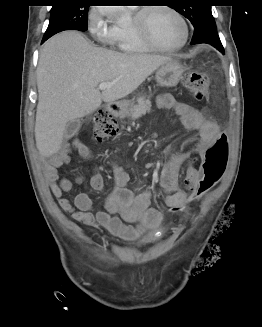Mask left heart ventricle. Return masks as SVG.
I'll use <instances>...</instances> for the list:
<instances>
[{
	"mask_svg": "<svg viewBox=\"0 0 262 327\" xmlns=\"http://www.w3.org/2000/svg\"><path fill=\"white\" fill-rule=\"evenodd\" d=\"M147 25L154 40L162 46H176L183 40L184 28L181 21L167 10L149 12Z\"/></svg>",
	"mask_w": 262,
	"mask_h": 327,
	"instance_id": "1",
	"label": "left heart ventricle"
}]
</instances>
